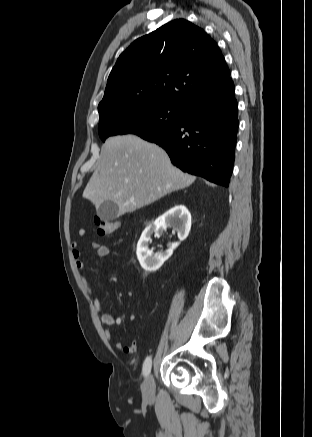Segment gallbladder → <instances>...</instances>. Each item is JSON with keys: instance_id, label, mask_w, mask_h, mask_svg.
I'll list each match as a JSON object with an SVG mask.
<instances>
[{"instance_id": "1", "label": "gallbladder", "mask_w": 312, "mask_h": 437, "mask_svg": "<svg viewBox=\"0 0 312 437\" xmlns=\"http://www.w3.org/2000/svg\"><path fill=\"white\" fill-rule=\"evenodd\" d=\"M97 215L103 221H113L119 217V207L113 201H104L97 208Z\"/></svg>"}]
</instances>
